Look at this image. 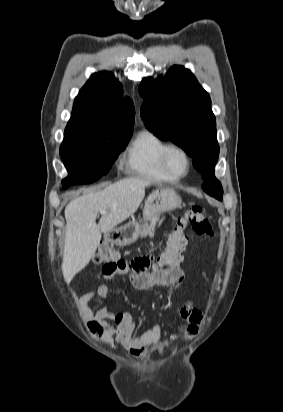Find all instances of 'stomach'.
I'll return each mask as SVG.
<instances>
[{
	"instance_id": "obj_1",
	"label": "stomach",
	"mask_w": 283,
	"mask_h": 412,
	"mask_svg": "<svg viewBox=\"0 0 283 412\" xmlns=\"http://www.w3.org/2000/svg\"><path fill=\"white\" fill-rule=\"evenodd\" d=\"M181 203L180 196L174 190L168 188L156 190L145 201L143 218L146 221L158 219L162 213L181 207ZM140 230L141 226L133 221L109 234L107 240L118 246H126L137 240Z\"/></svg>"
}]
</instances>
